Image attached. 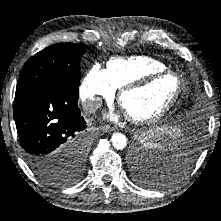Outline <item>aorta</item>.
I'll return each mask as SVG.
<instances>
[{
  "label": "aorta",
  "mask_w": 221,
  "mask_h": 221,
  "mask_svg": "<svg viewBox=\"0 0 221 221\" xmlns=\"http://www.w3.org/2000/svg\"><path fill=\"white\" fill-rule=\"evenodd\" d=\"M112 145L115 149L122 150L127 146V138L124 134L115 132L111 137ZM146 147H143V150L146 151ZM147 152V151H146Z\"/></svg>",
  "instance_id": "1"
}]
</instances>
